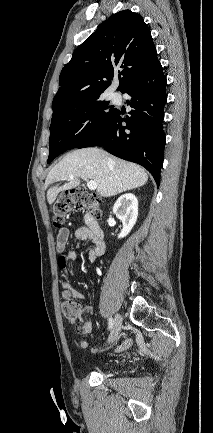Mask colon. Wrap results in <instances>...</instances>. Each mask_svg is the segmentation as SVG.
<instances>
[{
    "label": "colon",
    "mask_w": 213,
    "mask_h": 433,
    "mask_svg": "<svg viewBox=\"0 0 213 433\" xmlns=\"http://www.w3.org/2000/svg\"><path fill=\"white\" fill-rule=\"evenodd\" d=\"M100 199L97 195L89 193L84 189H73L62 193L56 200L53 207V223L55 226L62 225L69 214L74 210H85L95 218H100L101 208ZM59 265L65 266L66 262L63 257L59 259ZM75 292L72 289L63 293L61 302V311L64 317L72 323H75L81 315V307L75 300Z\"/></svg>",
    "instance_id": "1"
}]
</instances>
